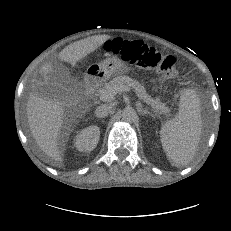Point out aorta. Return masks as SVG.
I'll return each instance as SVG.
<instances>
[{
	"label": "aorta",
	"mask_w": 231,
	"mask_h": 231,
	"mask_svg": "<svg viewBox=\"0 0 231 231\" xmlns=\"http://www.w3.org/2000/svg\"><path fill=\"white\" fill-rule=\"evenodd\" d=\"M136 118V111L132 107H125L122 111V119L126 122H132Z\"/></svg>",
	"instance_id": "762f6f07"
}]
</instances>
